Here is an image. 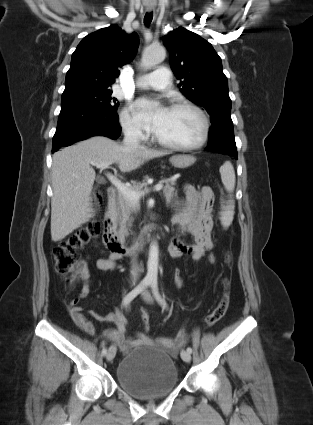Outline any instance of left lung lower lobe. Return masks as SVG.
Masks as SVG:
<instances>
[{
    "instance_id": "0a47b994",
    "label": "left lung lower lobe",
    "mask_w": 313,
    "mask_h": 425,
    "mask_svg": "<svg viewBox=\"0 0 313 425\" xmlns=\"http://www.w3.org/2000/svg\"><path fill=\"white\" fill-rule=\"evenodd\" d=\"M232 124H220L210 128L209 143L205 150L232 155L238 158Z\"/></svg>"
}]
</instances>
